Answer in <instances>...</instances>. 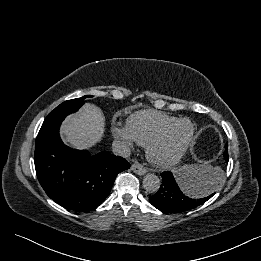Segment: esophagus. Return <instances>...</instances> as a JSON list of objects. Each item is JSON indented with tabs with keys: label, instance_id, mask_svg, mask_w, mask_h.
<instances>
[{
	"label": "esophagus",
	"instance_id": "34e87169",
	"mask_svg": "<svg viewBox=\"0 0 261 261\" xmlns=\"http://www.w3.org/2000/svg\"><path fill=\"white\" fill-rule=\"evenodd\" d=\"M131 170L138 175H144L147 172V169L138 162L131 166Z\"/></svg>",
	"mask_w": 261,
	"mask_h": 261
}]
</instances>
